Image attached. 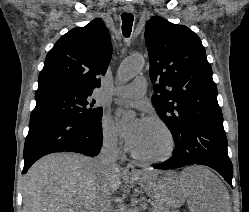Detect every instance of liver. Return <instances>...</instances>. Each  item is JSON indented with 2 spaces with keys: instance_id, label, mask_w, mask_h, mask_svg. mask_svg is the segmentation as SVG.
<instances>
[{
  "instance_id": "6515ba94",
  "label": "liver",
  "mask_w": 249,
  "mask_h": 212,
  "mask_svg": "<svg viewBox=\"0 0 249 212\" xmlns=\"http://www.w3.org/2000/svg\"><path fill=\"white\" fill-rule=\"evenodd\" d=\"M99 170L81 154H49L35 162L24 176V212H102ZM123 172L112 168L106 190H119ZM135 182L158 206L190 212H230V196L218 176L205 166H189L181 174L138 170Z\"/></svg>"
}]
</instances>
